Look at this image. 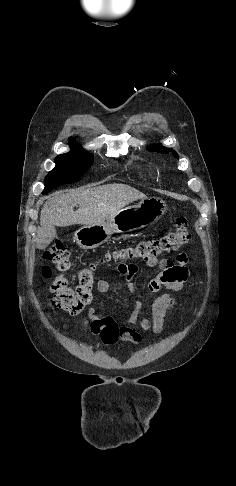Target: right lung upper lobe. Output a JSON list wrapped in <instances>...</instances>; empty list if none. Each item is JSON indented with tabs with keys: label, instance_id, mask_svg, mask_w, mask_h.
<instances>
[{
	"label": "right lung upper lobe",
	"instance_id": "obj_1",
	"mask_svg": "<svg viewBox=\"0 0 236 486\" xmlns=\"http://www.w3.org/2000/svg\"><path fill=\"white\" fill-rule=\"evenodd\" d=\"M69 139H70V140H73V138H69ZM70 143H75V144H77V143H76V142H74V141H71Z\"/></svg>",
	"mask_w": 236,
	"mask_h": 486
}]
</instances>
